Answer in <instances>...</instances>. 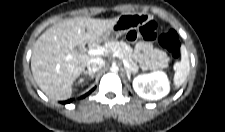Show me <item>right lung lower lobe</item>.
<instances>
[{"label":"right lung lower lobe","instance_id":"right-lung-lower-lobe-1","mask_svg":"<svg viewBox=\"0 0 225 132\" xmlns=\"http://www.w3.org/2000/svg\"><path fill=\"white\" fill-rule=\"evenodd\" d=\"M93 90H91L89 93H87V94H85L84 96H82V98H84V97H86L88 94H90L91 92H92ZM71 102V100H67V101H65V102H63L64 104H66V103H70Z\"/></svg>","mask_w":225,"mask_h":132}]
</instances>
